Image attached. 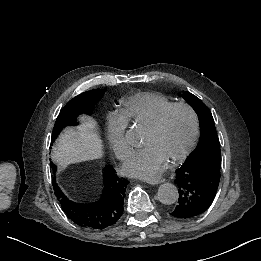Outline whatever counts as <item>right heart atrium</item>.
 Returning <instances> with one entry per match:
<instances>
[{
    "instance_id": "right-heart-atrium-1",
    "label": "right heart atrium",
    "mask_w": 261,
    "mask_h": 261,
    "mask_svg": "<svg viewBox=\"0 0 261 261\" xmlns=\"http://www.w3.org/2000/svg\"><path fill=\"white\" fill-rule=\"evenodd\" d=\"M125 130L126 123L123 121L118 123L112 122L109 129L112 136V146L110 150L120 159L123 158L124 153L128 149V144L125 139Z\"/></svg>"
}]
</instances>
